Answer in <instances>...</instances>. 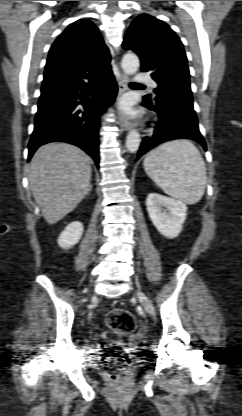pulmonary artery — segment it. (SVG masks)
<instances>
[{"mask_svg":"<svg viewBox=\"0 0 242 416\" xmlns=\"http://www.w3.org/2000/svg\"><path fill=\"white\" fill-rule=\"evenodd\" d=\"M135 80L138 83H149L151 86L155 87L156 84L150 79V77L147 74L144 73H137Z\"/></svg>","mask_w":242,"mask_h":416,"instance_id":"pulmonary-artery-1","label":"pulmonary artery"}]
</instances>
